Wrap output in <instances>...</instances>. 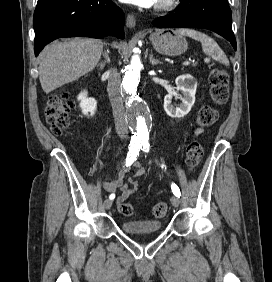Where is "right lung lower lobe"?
I'll list each match as a JSON object with an SVG mask.
<instances>
[{"instance_id":"obj_1","label":"right lung lower lobe","mask_w":272,"mask_h":282,"mask_svg":"<svg viewBox=\"0 0 272 282\" xmlns=\"http://www.w3.org/2000/svg\"><path fill=\"white\" fill-rule=\"evenodd\" d=\"M125 16L111 0H38L34 12V51L61 37L123 39Z\"/></svg>"}]
</instances>
